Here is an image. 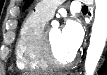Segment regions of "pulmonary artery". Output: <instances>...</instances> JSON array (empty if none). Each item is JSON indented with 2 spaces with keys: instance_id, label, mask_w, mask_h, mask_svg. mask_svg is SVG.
Here are the masks:
<instances>
[{
  "instance_id": "pulmonary-artery-1",
  "label": "pulmonary artery",
  "mask_w": 107,
  "mask_h": 75,
  "mask_svg": "<svg viewBox=\"0 0 107 75\" xmlns=\"http://www.w3.org/2000/svg\"><path fill=\"white\" fill-rule=\"evenodd\" d=\"M64 0H44L37 4L36 12H38L41 16L46 19H50L53 15L57 7L62 4Z\"/></svg>"
}]
</instances>
